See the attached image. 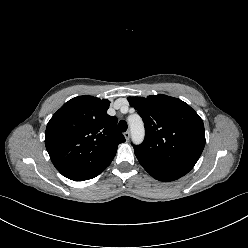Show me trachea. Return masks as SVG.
Listing matches in <instances>:
<instances>
[{
    "mask_svg": "<svg viewBox=\"0 0 248 248\" xmlns=\"http://www.w3.org/2000/svg\"><path fill=\"white\" fill-rule=\"evenodd\" d=\"M127 123L126 121L124 120H121L118 124V129L121 131V132H125L127 130Z\"/></svg>",
    "mask_w": 248,
    "mask_h": 248,
    "instance_id": "1",
    "label": "trachea"
}]
</instances>
